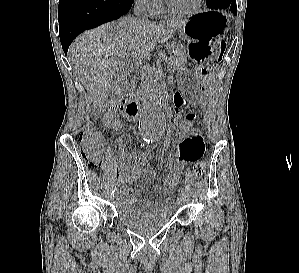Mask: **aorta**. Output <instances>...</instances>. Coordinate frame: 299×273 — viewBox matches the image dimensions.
<instances>
[{"instance_id":"aorta-1","label":"aorta","mask_w":299,"mask_h":273,"mask_svg":"<svg viewBox=\"0 0 299 273\" xmlns=\"http://www.w3.org/2000/svg\"><path fill=\"white\" fill-rule=\"evenodd\" d=\"M142 99L139 127L142 138L145 141H152L162 135L166 125L155 68H149L142 78Z\"/></svg>"}]
</instances>
